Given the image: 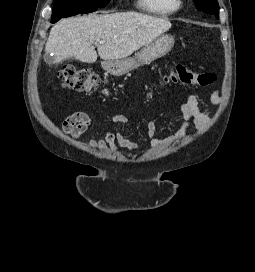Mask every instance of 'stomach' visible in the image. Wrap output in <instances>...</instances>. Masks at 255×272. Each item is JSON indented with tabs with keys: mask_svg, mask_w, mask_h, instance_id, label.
Masks as SVG:
<instances>
[{
	"mask_svg": "<svg viewBox=\"0 0 255 272\" xmlns=\"http://www.w3.org/2000/svg\"><path fill=\"white\" fill-rule=\"evenodd\" d=\"M173 45L174 38L171 35L162 34L146 44L134 57L105 61L102 66L110 74L121 76L140 65L150 64L152 61L166 55Z\"/></svg>",
	"mask_w": 255,
	"mask_h": 272,
	"instance_id": "obj_1",
	"label": "stomach"
}]
</instances>
